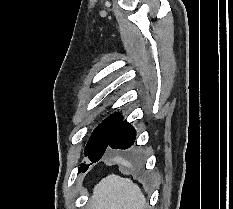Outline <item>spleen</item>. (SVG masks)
Returning <instances> with one entry per match:
<instances>
[{
	"mask_svg": "<svg viewBox=\"0 0 233 209\" xmlns=\"http://www.w3.org/2000/svg\"><path fill=\"white\" fill-rule=\"evenodd\" d=\"M92 209H146V199L139 186L115 174L103 178L93 190Z\"/></svg>",
	"mask_w": 233,
	"mask_h": 209,
	"instance_id": "1",
	"label": "spleen"
}]
</instances>
